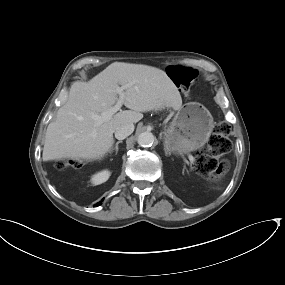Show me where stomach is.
I'll return each instance as SVG.
<instances>
[{
	"mask_svg": "<svg viewBox=\"0 0 285 285\" xmlns=\"http://www.w3.org/2000/svg\"><path fill=\"white\" fill-rule=\"evenodd\" d=\"M212 130L210 112L198 103H188L178 110L163 132L164 144L174 153L187 154L202 147Z\"/></svg>",
	"mask_w": 285,
	"mask_h": 285,
	"instance_id": "0dacf381",
	"label": "stomach"
}]
</instances>
